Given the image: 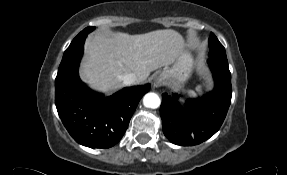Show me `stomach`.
<instances>
[{
	"instance_id": "obj_1",
	"label": "stomach",
	"mask_w": 287,
	"mask_h": 175,
	"mask_svg": "<svg viewBox=\"0 0 287 175\" xmlns=\"http://www.w3.org/2000/svg\"><path fill=\"white\" fill-rule=\"evenodd\" d=\"M194 68V59L192 55L182 48L178 58L171 67H165L160 77L167 84H184L191 76Z\"/></svg>"
}]
</instances>
